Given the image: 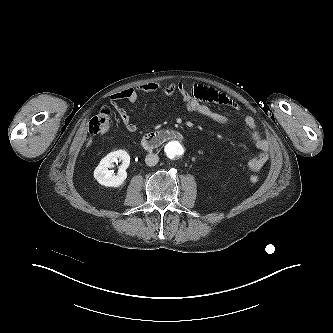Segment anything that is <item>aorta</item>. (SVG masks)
Listing matches in <instances>:
<instances>
[{"label":"aorta","mask_w":333,"mask_h":333,"mask_svg":"<svg viewBox=\"0 0 333 333\" xmlns=\"http://www.w3.org/2000/svg\"><path fill=\"white\" fill-rule=\"evenodd\" d=\"M165 152L169 158L176 159L183 155L184 148L179 141H171L166 145Z\"/></svg>","instance_id":"762f6f07"}]
</instances>
